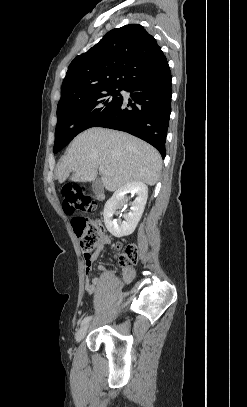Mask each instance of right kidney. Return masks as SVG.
I'll use <instances>...</instances> for the list:
<instances>
[{"label": "right kidney", "mask_w": 247, "mask_h": 407, "mask_svg": "<svg viewBox=\"0 0 247 407\" xmlns=\"http://www.w3.org/2000/svg\"><path fill=\"white\" fill-rule=\"evenodd\" d=\"M135 194L136 198L130 203L129 213L124 215V221L113 219L116 207L127 201V194ZM148 198V187L142 182H129L116 190L104 207V223L107 230L115 237L130 235L140 221Z\"/></svg>", "instance_id": "obj_1"}]
</instances>
